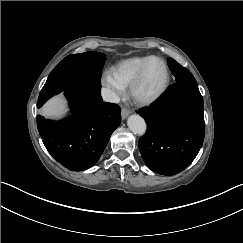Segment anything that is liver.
I'll return each mask as SVG.
<instances>
[{"label": "liver", "mask_w": 243, "mask_h": 243, "mask_svg": "<svg viewBox=\"0 0 243 243\" xmlns=\"http://www.w3.org/2000/svg\"><path fill=\"white\" fill-rule=\"evenodd\" d=\"M63 110V101L61 97H56L49 101L43 108L42 112L46 116L57 115Z\"/></svg>", "instance_id": "1"}]
</instances>
